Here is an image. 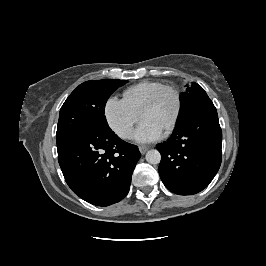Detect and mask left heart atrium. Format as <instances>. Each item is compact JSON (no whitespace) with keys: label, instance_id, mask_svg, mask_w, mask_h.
<instances>
[{"label":"left heart atrium","instance_id":"obj_1","mask_svg":"<svg viewBox=\"0 0 266 266\" xmlns=\"http://www.w3.org/2000/svg\"><path fill=\"white\" fill-rule=\"evenodd\" d=\"M162 134V129L148 119H142L137 127L134 137L141 143L157 140Z\"/></svg>","mask_w":266,"mask_h":266}]
</instances>
